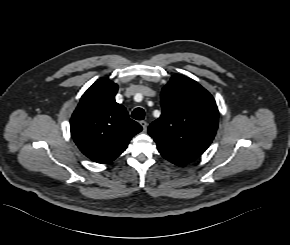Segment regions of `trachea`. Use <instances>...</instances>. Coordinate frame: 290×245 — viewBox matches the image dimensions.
<instances>
[{"label": "trachea", "instance_id": "3493384b", "mask_svg": "<svg viewBox=\"0 0 290 245\" xmlns=\"http://www.w3.org/2000/svg\"><path fill=\"white\" fill-rule=\"evenodd\" d=\"M132 118L136 119V120H143L145 117V112L142 108H136L134 109V111L132 112Z\"/></svg>", "mask_w": 290, "mask_h": 245}]
</instances>
